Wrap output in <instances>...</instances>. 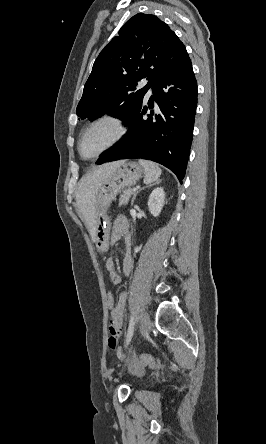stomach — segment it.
Listing matches in <instances>:
<instances>
[{"label": "stomach", "instance_id": "1", "mask_svg": "<svg viewBox=\"0 0 266 444\" xmlns=\"http://www.w3.org/2000/svg\"><path fill=\"white\" fill-rule=\"evenodd\" d=\"M144 173L140 164L133 161H123L97 191L95 197V240L98 244L101 239H105L109 232L108 207L122 189L136 184Z\"/></svg>", "mask_w": 266, "mask_h": 444}]
</instances>
